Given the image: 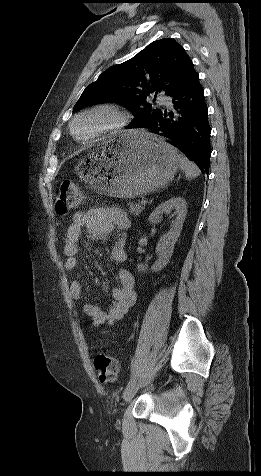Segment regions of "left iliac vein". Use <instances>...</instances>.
<instances>
[{"label": "left iliac vein", "mask_w": 261, "mask_h": 476, "mask_svg": "<svg viewBox=\"0 0 261 476\" xmlns=\"http://www.w3.org/2000/svg\"><path fill=\"white\" fill-rule=\"evenodd\" d=\"M138 390V384L134 382L130 387L126 388L124 393H123V399L124 401L130 402L133 397L135 396L136 392Z\"/></svg>", "instance_id": "4c4485c4"}]
</instances>
